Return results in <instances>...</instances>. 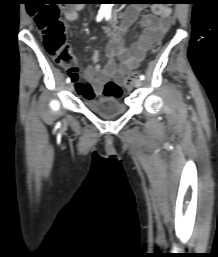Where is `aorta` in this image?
Returning <instances> with one entry per match:
<instances>
[{
  "label": "aorta",
  "instance_id": "762f6f07",
  "mask_svg": "<svg viewBox=\"0 0 218 257\" xmlns=\"http://www.w3.org/2000/svg\"><path fill=\"white\" fill-rule=\"evenodd\" d=\"M112 6H113V4H101L100 11L103 13H110Z\"/></svg>",
  "mask_w": 218,
  "mask_h": 257
}]
</instances>
